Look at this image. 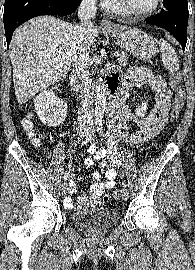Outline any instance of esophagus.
I'll return each mask as SVG.
<instances>
[{"label":"esophagus","mask_w":195,"mask_h":270,"mask_svg":"<svg viewBox=\"0 0 195 270\" xmlns=\"http://www.w3.org/2000/svg\"><path fill=\"white\" fill-rule=\"evenodd\" d=\"M101 24L105 29H113L114 28L112 21L108 17H103Z\"/></svg>","instance_id":"34e87169"}]
</instances>
